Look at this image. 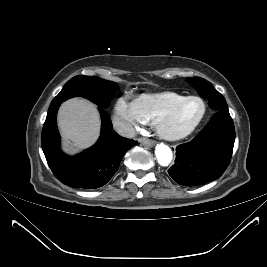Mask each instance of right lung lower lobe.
Listing matches in <instances>:
<instances>
[{
  "label": "right lung lower lobe",
  "mask_w": 267,
  "mask_h": 267,
  "mask_svg": "<svg viewBox=\"0 0 267 267\" xmlns=\"http://www.w3.org/2000/svg\"><path fill=\"white\" fill-rule=\"evenodd\" d=\"M60 104L50 105L42 130V149L50 169L57 179L70 187H102L116 173L124 154L137 142L114 132L110 117L99 107L102 127L98 141L83 153L69 157L59 148L56 115Z\"/></svg>",
  "instance_id": "1"
}]
</instances>
